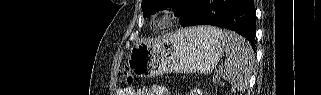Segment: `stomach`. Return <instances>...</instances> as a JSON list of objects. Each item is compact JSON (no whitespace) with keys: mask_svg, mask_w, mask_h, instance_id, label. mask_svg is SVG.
<instances>
[{"mask_svg":"<svg viewBox=\"0 0 321 95\" xmlns=\"http://www.w3.org/2000/svg\"><path fill=\"white\" fill-rule=\"evenodd\" d=\"M223 50L222 41L190 28L154 41L135 43L129 53L128 66L141 77L167 72L210 73Z\"/></svg>","mask_w":321,"mask_h":95,"instance_id":"obj_1","label":"stomach"}]
</instances>
